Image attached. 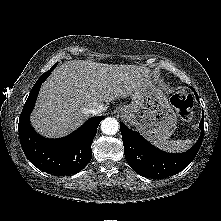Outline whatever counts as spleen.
I'll return each mask as SVG.
<instances>
[{"instance_id": "obj_1", "label": "spleen", "mask_w": 221, "mask_h": 221, "mask_svg": "<svg viewBox=\"0 0 221 221\" xmlns=\"http://www.w3.org/2000/svg\"><path fill=\"white\" fill-rule=\"evenodd\" d=\"M154 145L168 152H183L189 149L192 145V141L187 140H163L153 141Z\"/></svg>"}]
</instances>
